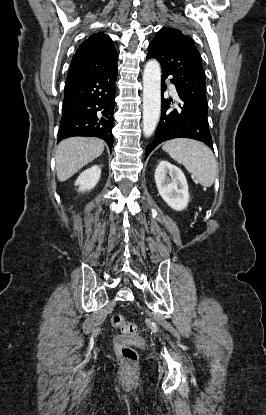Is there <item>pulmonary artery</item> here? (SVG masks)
Masks as SVG:
<instances>
[{
	"label": "pulmonary artery",
	"instance_id": "1",
	"mask_svg": "<svg viewBox=\"0 0 266 415\" xmlns=\"http://www.w3.org/2000/svg\"><path fill=\"white\" fill-rule=\"evenodd\" d=\"M171 90L174 92L175 91V89H174V87L173 86H171Z\"/></svg>",
	"mask_w": 266,
	"mask_h": 415
}]
</instances>
